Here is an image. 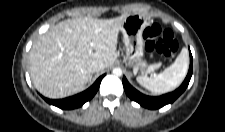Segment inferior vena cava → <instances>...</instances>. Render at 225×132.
<instances>
[{"mask_svg":"<svg viewBox=\"0 0 225 132\" xmlns=\"http://www.w3.org/2000/svg\"><path fill=\"white\" fill-rule=\"evenodd\" d=\"M89 68H90V71L92 73H101L104 68H105V65L103 62L99 61V60H93L90 65H89Z\"/></svg>","mask_w":225,"mask_h":132,"instance_id":"602c4592","label":"inferior vena cava"}]
</instances>
